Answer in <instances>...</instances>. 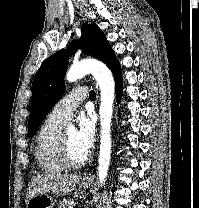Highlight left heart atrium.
I'll use <instances>...</instances> for the list:
<instances>
[{
	"instance_id": "left-heart-atrium-1",
	"label": "left heart atrium",
	"mask_w": 199,
	"mask_h": 208,
	"mask_svg": "<svg viewBox=\"0 0 199 208\" xmlns=\"http://www.w3.org/2000/svg\"><path fill=\"white\" fill-rule=\"evenodd\" d=\"M77 142L87 153L94 143L95 127L91 118L81 115L78 118V128L76 130Z\"/></svg>"
}]
</instances>
